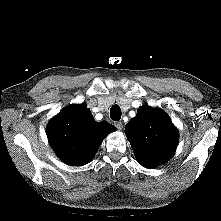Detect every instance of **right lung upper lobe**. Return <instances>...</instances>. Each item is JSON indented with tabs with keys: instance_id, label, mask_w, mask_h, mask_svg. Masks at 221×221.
<instances>
[{
	"instance_id": "1",
	"label": "right lung upper lobe",
	"mask_w": 221,
	"mask_h": 221,
	"mask_svg": "<svg viewBox=\"0 0 221 221\" xmlns=\"http://www.w3.org/2000/svg\"><path fill=\"white\" fill-rule=\"evenodd\" d=\"M113 131L115 127L107 121L96 122L83 103L70 105L52 118L47 136L60 159L82 166L90 162L103 138Z\"/></svg>"
}]
</instances>
